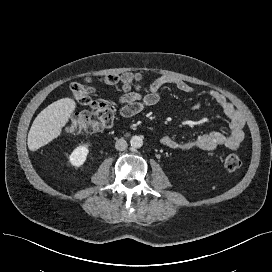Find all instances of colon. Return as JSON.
<instances>
[{
    "instance_id": "colon-1",
    "label": "colon",
    "mask_w": 272,
    "mask_h": 272,
    "mask_svg": "<svg viewBox=\"0 0 272 272\" xmlns=\"http://www.w3.org/2000/svg\"><path fill=\"white\" fill-rule=\"evenodd\" d=\"M102 81L112 87L131 89L141 86L142 77L133 73L113 74L105 76ZM70 91L74 101L88 106L90 110L77 113L69 119L67 123L69 133H90L112 126L115 112L107 102L93 98L95 87L91 78L72 83ZM224 164L228 170L234 171L241 167L242 161L239 156L230 154L226 156Z\"/></svg>"
}]
</instances>
